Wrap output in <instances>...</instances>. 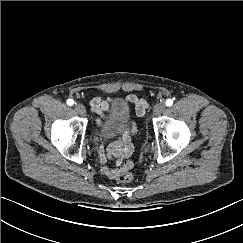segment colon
<instances>
[{"instance_id": "5ec220e1", "label": "colon", "mask_w": 243, "mask_h": 243, "mask_svg": "<svg viewBox=\"0 0 243 243\" xmlns=\"http://www.w3.org/2000/svg\"><path fill=\"white\" fill-rule=\"evenodd\" d=\"M132 166V163H127L125 171L122 172L117 178L118 182L129 183L133 180V174L129 171L132 168Z\"/></svg>"}]
</instances>
